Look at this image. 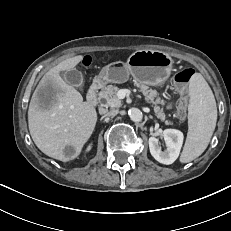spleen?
Instances as JSON below:
<instances>
[{
    "label": "spleen",
    "mask_w": 231,
    "mask_h": 231,
    "mask_svg": "<svg viewBox=\"0 0 231 231\" xmlns=\"http://www.w3.org/2000/svg\"><path fill=\"white\" fill-rule=\"evenodd\" d=\"M188 133L180 162L188 163L207 148L217 121V107L208 83L195 73L189 84Z\"/></svg>",
    "instance_id": "obj_1"
}]
</instances>
